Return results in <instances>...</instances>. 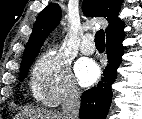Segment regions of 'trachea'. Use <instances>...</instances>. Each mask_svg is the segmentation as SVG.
Returning <instances> with one entry per match:
<instances>
[{"instance_id": "trachea-1", "label": "trachea", "mask_w": 142, "mask_h": 119, "mask_svg": "<svg viewBox=\"0 0 142 119\" xmlns=\"http://www.w3.org/2000/svg\"><path fill=\"white\" fill-rule=\"evenodd\" d=\"M95 45H96V47H100V48L105 47V33L102 29H100L95 34Z\"/></svg>"}]
</instances>
